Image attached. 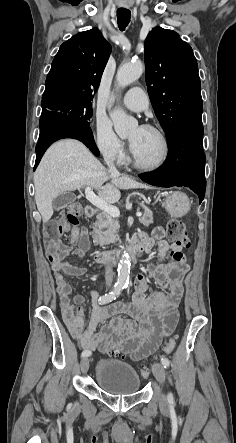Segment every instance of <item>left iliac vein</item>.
<instances>
[{
    "label": "left iliac vein",
    "instance_id": "left-iliac-vein-1",
    "mask_svg": "<svg viewBox=\"0 0 236 443\" xmlns=\"http://www.w3.org/2000/svg\"><path fill=\"white\" fill-rule=\"evenodd\" d=\"M152 371L161 386H163L165 382V369L161 363H154L152 365ZM160 409L165 412L167 410V402L165 400L164 395H161L160 398Z\"/></svg>",
    "mask_w": 236,
    "mask_h": 443
}]
</instances>
